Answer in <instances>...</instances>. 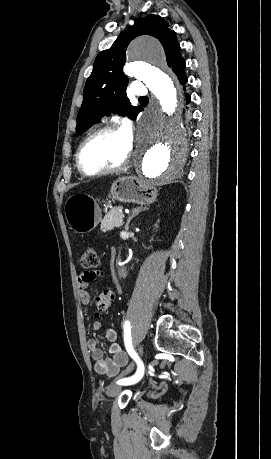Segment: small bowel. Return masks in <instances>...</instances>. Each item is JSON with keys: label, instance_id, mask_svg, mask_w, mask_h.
Listing matches in <instances>:
<instances>
[{"label": "small bowel", "instance_id": "obj_1", "mask_svg": "<svg viewBox=\"0 0 271 459\" xmlns=\"http://www.w3.org/2000/svg\"><path fill=\"white\" fill-rule=\"evenodd\" d=\"M103 276L104 270L101 268L85 271L79 275V300L82 305L88 306L91 302L90 294L87 291L89 282L102 278ZM93 328L95 330H99L101 328V323L95 321L93 323ZM105 338L111 343L109 347L111 357H105L102 349L98 347L97 342L93 339L88 341L87 346L94 361V368L96 372L108 377H114L119 373L120 369L127 364L128 357L120 345L116 342L117 332L115 329H106Z\"/></svg>", "mask_w": 271, "mask_h": 459}]
</instances>
